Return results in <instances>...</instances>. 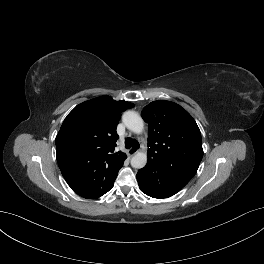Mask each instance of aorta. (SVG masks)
<instances>
[{
  "instance_id": "obj_1",
  "label": "aorta",
  "mask_w": 264,
  "mask_h": 264,
  "mask_svg": "<svg viewBox=\"0 0 264 264\" xmlns=\"http://www.w3.org/2000/svg\"><path fill=\"white\" fill-rule=\"evenodd\" d=\"M122 121L125 126L134 133H141L144 128L141 116L135 111H126L122 115ZM147 163V154L145 152H137L131 158V166L136 169L143 168Z\"/></svg>"
}]
</instances>
